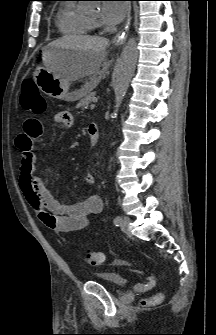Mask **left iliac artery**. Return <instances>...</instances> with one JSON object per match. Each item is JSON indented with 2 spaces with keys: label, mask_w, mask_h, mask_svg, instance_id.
Returning <instances> with one entry per match:
<instances>
[{
  "label": "left iliac artery",
  "mask_w": 216,
  "mask_h": 335,
  "mask_svg": "<svg viewBox=\"0 0 216 335\" xmlns=\"http://www.w3.org/2000/svg\"><path fill=\"white\" fill-rule=\"evenodd\" d=\"M121 220H122V218H121L120 216H116V217L114 218V224H115L116 226H119Z\"/></svg>",
  "instance_id": "1"
}]
</instances>
